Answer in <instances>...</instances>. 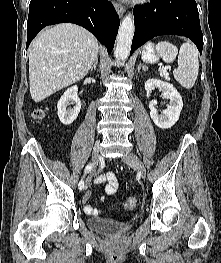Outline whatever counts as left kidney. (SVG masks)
<instances>
[{
  "label": "left kidney",
  "instance_id": "left-kidney-1",
  "mask_svg": "<svg viewBox=\"0 0 221 263\" xmlns=\"http://www.w3.org/2000/svg\"><path fill=\"white\" fill-rule=\"evenodd\" d=\"M158 88L162 91L164 99L169 100L167 109L163 110L161 114L156 109L157 101L152 100L149 102L150 117L154 124L161 129L171 128L179 119L183 107L182 97L176 88L168 83L157 79H148L145 82V90L147 92Z\"/></svg>",
  "mask_w": 221,
  "mask_h": 263
}]
</instances>
